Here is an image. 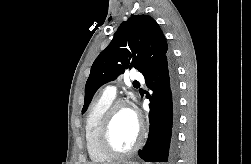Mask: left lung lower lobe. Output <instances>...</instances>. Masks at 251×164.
<instances>
[{"label": "left lung lower lobe", "mask_w": 251, "mask_h": 164, "mask_svg": "<svg viewBox=\"0 0 251 164\" xmlns=\"http://www.w3.org/2000/svg\"><path fill=\"white\" fill-rule=\"evenodd\" d=\"M145 77L150 92L149 135L145 146L138 152L146 162L172 163L178 125V81L171 56L163 59Z\"/></svg>", "instance_id": "0a47b994"}]
</instances>
